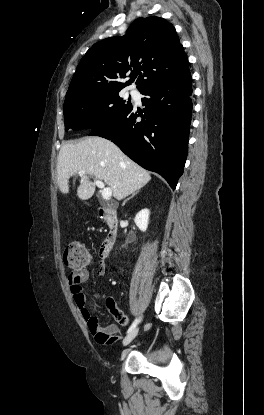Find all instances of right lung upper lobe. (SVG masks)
Segmentation results:
<instances>
[{
	"label": "right lung upper lobe",
	"mask_w": 264,
	"mask_h": 415,
	"mask_svg": "<svg viewBox=\"0 0 264 415\" xmlns=\"http://www.w3.org/2000/svg\"><path fill=\"white\" fill-rule=\"evenodd\" d=\"M189 72L188 59L175 28L151 16L135 20L124 36L104 39L81 59L66 98L119 92L137 77V89L177 79Z\"/></svg>",
	"instance_id": "obj_1"
}]
</instances>
